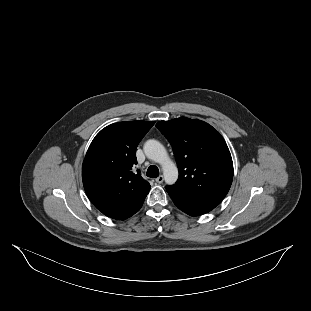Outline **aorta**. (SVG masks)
I'll use <instances>...</instances> for the list:
<instances>
[{
    "mask_svg": "<svg viewBox=\"0 0 311 311\" xmlns=\"http://www.w3.org/2000/svg\"><path fill=\"white\" fill-rule=\"evenodd\" d=\"M147 158L160 165L166 183L173 184L178 178V168L166 148L156 140H149L144 145Z\"/></svg>",
    "mask_w": 311,
    "mask_h": 311,
    "instance_id": "aorta-1",
    "label": "aorta"
}]
</instances>
